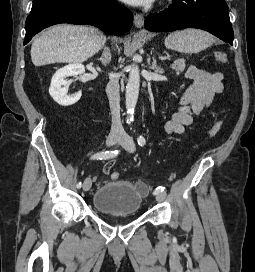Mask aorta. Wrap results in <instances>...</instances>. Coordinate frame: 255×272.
<instances>
[{"label": "aorta", "mask_w": 255, "mask_h": 272, "mask_svg": "<svg viewBox=\"0 0 255 272\" xmlns=\"http://www.w3.org/2000/svg\"><path fill=\"white\" fill-rule=\"evenodd\" d=\"M140 87V73L137 64H132L129 67V79L126 85V109L129 117L134 114V109L138 100ZM129 121V119H128Z\"/></svg>", "instance_id": "aorta-1"}]
</instances>
